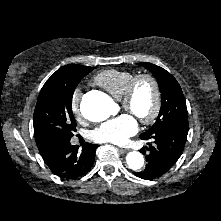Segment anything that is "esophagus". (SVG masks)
Here are the masks:
<instances>
[{
	"instance_id": "obj_1",
	"label": "esophagus",
	"mask_w": 221,
	"mask_h": 221,
	"mask_svg": "<svg viewBox=\"0 0 221 221\" xmlns=\"http://www.w3.org/2000/svg\"><path fill=\"white\" fill-rule=\"evenodd\" d=\"M118 150L123 152V153L127 151V149H125V148H118Z\"/></svg>"
}]
</instances>
